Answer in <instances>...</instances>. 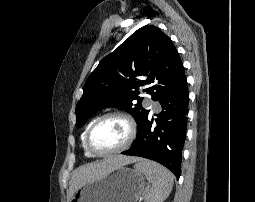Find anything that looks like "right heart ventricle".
<instances>
[{"mask_svg":"<svg viewBox=\"0 0 255 202\" xmlns=\"http://www.w3.org/2000/svg\"><path fill=\"white\" fill-rule=\"evenodd\" d=\"M90 124H91V123H90ZM90 124L86 127L85 131H84L83 134H82V145H83V149H84V151H85V153H86L87 155H91V153L87 150V148H86V146H85V134H86L87 129L89 128Z\"/></svg>","mask_w":255,"mask_h":202,"instance_id":"obj_1","label":"right heart ventricle"}]
</instances>
